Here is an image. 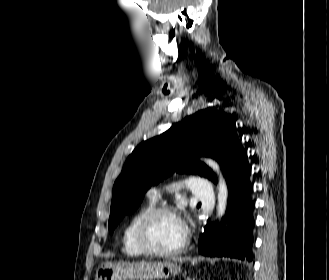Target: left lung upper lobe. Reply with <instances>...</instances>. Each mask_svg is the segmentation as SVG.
<instances>
[{"mask_svg":"<svg viewBox=\"0 0 329 280\" xmlns=\"http://www.w3.org/2000/svg\"><path fill=\"white\" fill-rule=\"evenodd\" d=\"M243 151L235 120L212 108L200 110L163 134L142 142L127 158L114 183L110 233L126 213L137 210L151 185L174 171L197 172L216 182L213 172L205 164L197 162L198 155L216 159L227 179L239 168Z\"/></svg>","mask_w":329,"mask_h":280,"instance_id":"left-lung-upper-lobe-1","label":"left lung upper lobe"}]
</instances>
